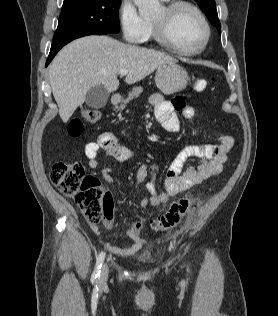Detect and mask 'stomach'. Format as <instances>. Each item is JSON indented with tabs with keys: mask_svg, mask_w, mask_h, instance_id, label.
Instances as JSON below:
<instances>
[{
	"mask_svg": "<svg viewBox=\"0 0 278 316\" xmlns=\"http://www.w3.org/2000/svg\"><path fill=\"white\" fill-rule=\"evenodd\" d=\"M188 81L187 71L175 61L160 65L155 74L158 89L166 95L184 90Z\"/></svg>",
	"mask_w": 278,
	"mask_h": 316,
	"instance_id": "stomach-1",
	"label": "stomach"
}]
</instances>
